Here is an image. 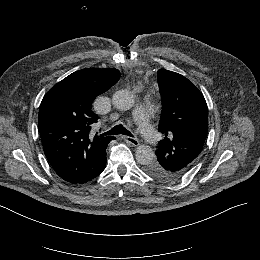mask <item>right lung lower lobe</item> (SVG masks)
Wrapping results in <instances>:
<instances>
[{
    "label": "right lung lower lobe",
    "mask_w": 260,
    "mask_h": 260,
    "mask_svg": "<svg viewBox=\"0 0 260 260\" xmlns=\"http://www.w3.org/2000/svg\"><path fill=\"white\" fill-rule=\"evenodd\" d=\"M103 170H104V169H103ZM103 170H102V171H103ZM102 171H101V172H102ZM101 172H100V173H101ZM100 173H98V174H96V175H94V176H92V177H90V178H88V179H86V180H84V181H82V182H79V183H85V182H88V181L94 179L95 177H97Z\"/></svg>",
    "instance_id": "right-lung-lower-lobe-1"
}]
</instances>
